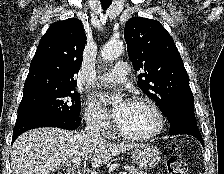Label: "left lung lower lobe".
Segmentation results:
<instances>
[{
  "label": "left lung lower lobe",
  "instance_id": "0a47b994",
  "mask_svg": "<svg viewBox=\"0 0 224 174\" xmlns=\"http://www.w3.org/2000/svg\"><path fill=\"white\" fill-rule=\"evenodd\" d=\"M170 135L187 134L197 138L203 145V139L198 129L194 105L180 106L176 108L168 119Z\"/></svg>",
  "mask_w": 224,
  "mask_h": 174
}]
</instances>
